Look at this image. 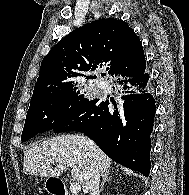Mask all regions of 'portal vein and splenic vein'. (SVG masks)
I'll return each instance as SVG.
<instances>
[{
    "label": "portal vein and splenic vein",
    "mask_w": 189,
    "mask_h": 195,
    "mask_svg": "<svg viewBox=\"0 0 189 195\" xmlns=\"http://www.w3.org/2000/svg\"><path fill=\"white\" fill-rule=\"evenodd\" d=\"M57 168L61 169V170H67L66 166L64 165H57ZM81 190V186L78 182H72L70 185V191L73 195H76L77 193H79Z\"/></svg>",
    "instance_id": "portal-vein-and-splenic-vein-1"
}]
</instances>
